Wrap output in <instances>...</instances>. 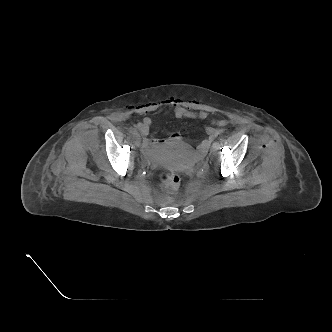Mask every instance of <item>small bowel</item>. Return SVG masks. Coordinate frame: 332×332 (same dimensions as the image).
I'll list each match as a JSON object with an SVG mask.
<instances>
[{"label":"small bowel","instance_id":"c3829d8e","mask_svg":"<svg viewBox=\"0 0 332 332\" xmlns=\"http://www.w3.org/2000/svg\"><path fill=\"white\" fill-rule=\"evenodd\" d=\"M162 106L172 107L174 110V116L177 119L206 120L208 117L207 112L191 111L186 107L185 102L183 100L174 97L168 98L161 102L151 103L150 105L147 106V109L156 110ZM227 124H228L227 119H218V120H212L208 125L205 126V132L207 134V138L203 140L199 145L198 147L199 153L203 154L207 151L212 141L224 131V128L226 127ZM151 125H152V120L149 117H145L137 125L138 130L144 136L142 141V148L146 153H150L152 147L160 146L164 143V141L150 142L147 139L146 136L149 134ZM179 140L180 136L178 134H174L170 137V141H179Z\"/></svg>","mask_w":332,"mask_h":332}]
</instances>
